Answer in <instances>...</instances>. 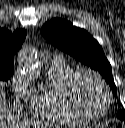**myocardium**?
Listing matches in <instances>:
<instances>
[{
  "label": "myocardium",
  "instance_id": "1",
  "mask_svg": "<svg viewBox=\"0 0 125 128\" xmlns=\"http://www.w3.org/2000/svg\"><path fill=\"white\" fill-rule=\"evenodd\" d=\"M91 79L92 81H94L98 87L100 88V90L102 91V93L104 94L105 97V105L103 107V110L99 113H91L88 110H86L78 96H77V86L80 83V81L82 79ZM66 96L68 98V101L70 102L71 107L82 117H84L86 120H97L102 118L103 116L106 115V113L108 112L110 105H111V93L105 83V81L95 72L89 71V70H80V71H76L68 80L67 84H66Z\"/></svg>",
  "mask_w": 125,
  "mask_h": 128
}]
</instances>
